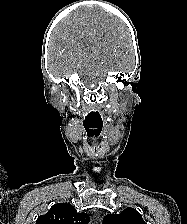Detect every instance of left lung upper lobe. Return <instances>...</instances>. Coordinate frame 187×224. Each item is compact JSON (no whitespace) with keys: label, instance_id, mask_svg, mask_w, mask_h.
I'll list each match as a JSON object with an SVG mask.
<instances>
[{"label":"left lung upper lobe","instance_id":"1","mask_svg":"<svg viewBox=\"0 0 187 224\" xmlns=\"http://www.w3.org/2000/svg\"><path fill=\"white\" fill-rule=\"evenodd\" d=\"M104 224H146L141 215L131 207L126 208L120 214H108Z\"/></svg>","mask_w":187,"mask_h":224}]
</instances>
